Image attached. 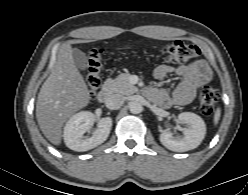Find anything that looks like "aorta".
<instances>
[{"instance_id": "aorta-1", "label": "aorta", "mask_w": 248, "mask_h": 195, "mask_svg": "<svg viewBox=\"0 0 248 195\" xmlns=\"http://www.w3.org/2000/svg\"><path fill=\"white\" fill-rule=\"evenodd\" d=\"M129 109L131 113L138 114L142 111V105L137 101H133L130 103Z\"/></svg>"}]
</instances>
